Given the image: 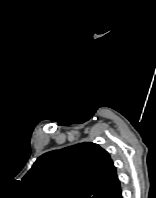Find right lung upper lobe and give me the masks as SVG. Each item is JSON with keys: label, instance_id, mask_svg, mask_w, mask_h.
<instances>
[{"label": "right lung upper lobe", "instance_id": "obj_1", "mask_svg": "<svg viewBox=\"0 0 156 198\" xmlns=\"http://www.w3.org/2000/svg\"><path fill=\"white\" fill-rule=\"evenodd\" d=\"M23 181L41 198H116L121 192L109 153L90 142L43 154Z\"/></svg>", "mask_w": 156, "mask_h": 198}]
</instances>
